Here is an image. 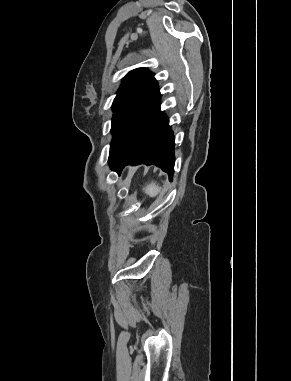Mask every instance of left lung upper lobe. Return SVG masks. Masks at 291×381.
<instances>
[{
  "label": "left lung upper lobe",
  "instance_id": "5c2ea615",
  "mask_svg": "<svg viewBox=\"0 0 291 381\" xmlns=\"http://www.w3.org/2000/svg\"><path fill=\"white\" fill-rule=\"evenodd\" d=\"M158 92L154 74L146 68L134 69L125 76L112 105L113 139L110 152Z\"/></svg>",
  "mask_w": 291,
  "mask_h": 381
}]
</instances>
